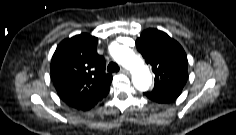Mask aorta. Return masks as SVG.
I'll return each mask as SVG.
<instances>
[{"instance_id":"aorta-1","label":"aorta","mask_w":236,"mask_h":135,"mask_svg":"<svg viewBox=\"0 0 236 135\" xmlns=\"http://www.w3.org/2000/svg\"><path fill=\"white\" fill-rule=\"evenodd\" d=\"M113 58L132 74V82L139 91H147L152 84V75L144 61L133 50L126 46L118 47Z\"/></svg>"}]
</instances>
